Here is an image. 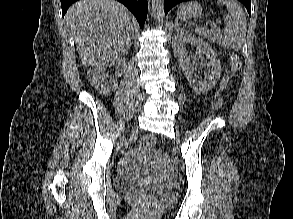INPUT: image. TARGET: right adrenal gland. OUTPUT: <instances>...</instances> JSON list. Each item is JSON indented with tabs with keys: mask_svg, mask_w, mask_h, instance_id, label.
Segmentation results:
<instances>
[{
	"mask_svg": "<svg viewBox=\"0 0 293 219\" xmlns=\"http://www.w3.org/2000/svg\"><path fill=\"white\" fill-rule=\"evenodd\" d=\"M131 38H133V29H132V33H131Z\"/></svg>",
	"mask_w": 293,
	"mask_h": 219,
	"instance_id": "1",
	"label": "right adrenal gland"
}]
</instances>
